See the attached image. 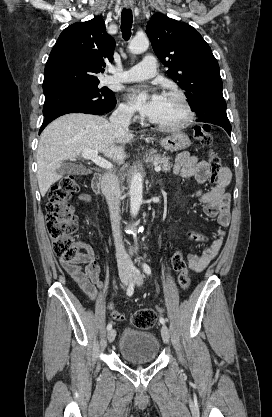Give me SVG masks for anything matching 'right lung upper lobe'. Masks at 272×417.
I'll list each match as a JSON object with an SVG mask.
<instances>
[{
  "instance_id": "1",
  "label": "right lung upper lobe",
  "mask_w": 272,
  "mask_h": 417,
  "mask_svg": "<svg viewBox=\"0 0 272 417\" xmlns=\"http://www.w3.org/2000/svg\"><path fill=\"white\" fill-rule=\"evenodd\" d=\"M115 40L102 18L74 23L63 30L44 70L43 91L68 85L99 83L96 74L113 61Z\"/></svg>"
}]
</instances>
